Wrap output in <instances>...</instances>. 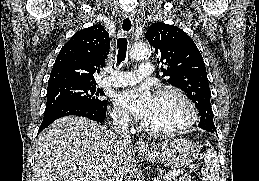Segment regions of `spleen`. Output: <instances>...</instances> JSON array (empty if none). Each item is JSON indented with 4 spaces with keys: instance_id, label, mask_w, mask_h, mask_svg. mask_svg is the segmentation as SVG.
<instances>
[{
    "instance_id": "spleen-1",
    "label": "spleen",
    "mask_w": 259,
    "mask_h": 181,
    "mask_svg": "<svg viewBox=\"0 0 259 181\" xmlns=\"http://www.w3.org/2000/svg\"><path fill=\"white\" fill-rule=\"evenodd\" d=\"M205 173L203 181H219L220 165L217 152L210 147L205 156Z\"/></svg>"
}]
</instances>
